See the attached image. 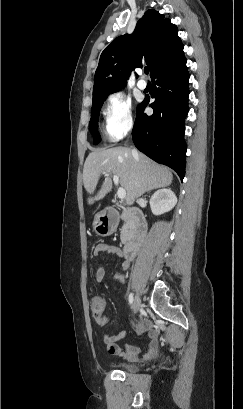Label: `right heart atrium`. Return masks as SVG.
Segmentation results:
<instances>
[{"label":"right heart atrium","instance_id":"obj_1","mask_svg":"<svg viewBox=\"0 0 243 409\" xmlns=\"http://www.w3.org/2000/svg\"><path fill=\"white\" fill-rule=\"evenodd\" d=\"M104 129L111 140H119L134 126L131 100L120 92L108 96L104 109Z\"/></svg>","mask_w":243,"mask_h":409}]
</instances>
